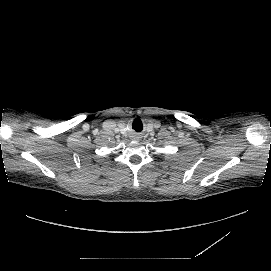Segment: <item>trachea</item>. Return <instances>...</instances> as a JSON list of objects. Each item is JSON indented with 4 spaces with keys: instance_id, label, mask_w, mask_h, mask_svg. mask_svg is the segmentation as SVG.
Instances as JSON below:
<instances>
[{
    "instance_id": "trachea-1",
    "label": "trachea",
    "mask_w": 271,
    "mask_h": 271,
    "mask_svg": "<svg viewBox=\"0 0 271 271\" xmlns=\"http://www.w3.org/2000/svg\"><path fill=\"white\" fill-rule=\"evenodd\" d=\"M131 126H132L133 131L135 132H141L144 129L143 121L140 118L133 119Z\"/></svg>"
}]
</instances>
